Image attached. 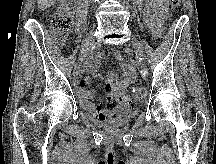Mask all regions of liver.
Returning <instances> with one entry per match:
<instances>
[{"label": "liver", "instance_id": "obj_1", "mask_svg": "<svg viewBox=\"0 0 216 164\" xmlns=\"http://www.w3.org/2000/svg\"><path fill=\"white\" fill-rule=\"evenodd\" d=\"M56 0H37L39 11H44L45 9L51 7Z\"/></svg>", "mask_w": 216, "mask_h": 164}]
</instances>
